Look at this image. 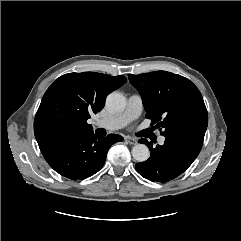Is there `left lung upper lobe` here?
<instances>
[{
    "label": "left lung upper lobe",
    "mask_w": 241,
    "mask_h": 241,
    "mask_svg": "<svg viewBox=\"0 0 241 241\" xmlns=\"http://www.w3.org/2000/svg\"><path fill=\"white\" fill-rule=\"evenodd\" d=\"M139 91L151 125L163 128L165 137L205 134L208 114L198 88L187 78L166 71L128 75Z\"/></svg>",
    "instance_id": "5c2ea615"
}]
</instances>
